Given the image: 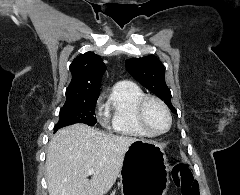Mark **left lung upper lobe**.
I'll return each instance as SVG.
<instances>
[{
    "label": "left lung upper lobe",
    "instance_id": "1",
    "mask_svg": "<svg viewBox=\"0 0 240 195\" xmlns=\"http://www.w3.org/2000/svg\"><path fill=\"white\" fill-rule=\"evenodd\" d=\"M125 64L128 72L142 86L163 100L173 113H177L171 103L170 89L165 82V68L156 56L128 59Z\"/></svg>",
    "mask_w": 240,
    "mask_h": 195
}]
</instances>
